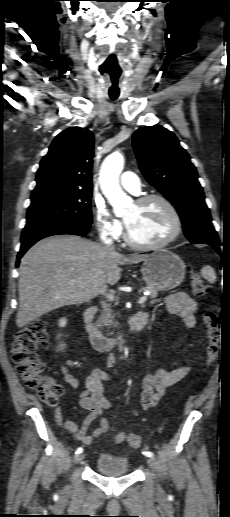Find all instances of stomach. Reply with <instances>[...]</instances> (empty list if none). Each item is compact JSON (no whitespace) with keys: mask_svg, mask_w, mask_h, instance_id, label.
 Wrapping results in <instances>:
<instances>
[{"mask_svg":"<svg viewBox=\"0 0 230 517\" xmlns=\"http://www.w3.org/2000/svg\"><path fill=\"white\" fill-rule=\"evenodd\" d=\"M141 273L150 288L169 291L184 280L186 266L177 254L161 249L148 255L142 265Z\"/></svg>","mask_w":230,"mask_h":517,"instance_id":"0dacf381","label":"stomach"}]
</instances>
